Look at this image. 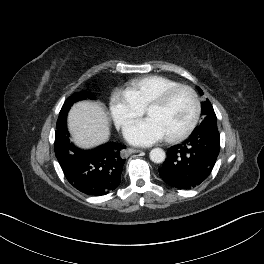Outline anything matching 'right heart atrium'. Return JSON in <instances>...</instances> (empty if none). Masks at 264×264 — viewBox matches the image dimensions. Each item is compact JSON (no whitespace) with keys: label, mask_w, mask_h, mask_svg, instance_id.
Returning <instances> with one entry per match:
<instances>
[{"label":"right heart atrium","mask_w":264,"mask_h":264,"mask_svg":"<svg viewBox=\"0 0 264 264\" xmlns=\"http://www.w3.org/2000/svg\"><path fill=\"white\" fill-rule=\"evenodd\" d=\"M109 109L114 123L119 128H126L143 113V109L130 98L126 91L113 93L110 98Z\"/></svg>","instance_id":"right-heart-atrium-1"}]
</instances>
